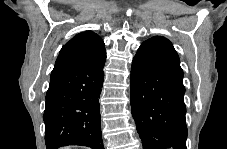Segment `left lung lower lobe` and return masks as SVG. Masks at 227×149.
Instances as JSON below:
<instances>
[{
  "label": "left lung lower lobe",
  "mask_w": 227,
  "mask_h": 149,
  "mask_svg": "<svg viewBox=\"0 0 227 149\" xmlns=\"http://www.w3.org/2000/svg\"><path fill=\"white\" fill-rule=\"evenodd\" d=\"M183 70L172 43L161 36L139 47L131 67V112L143 149H186Z\"/></svg>",
  "instance_id": "1"
}]
</instances>
